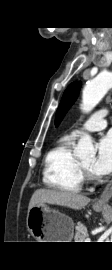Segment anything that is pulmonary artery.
Returning <instances> with one entry per match:
<instances>
[{
  "mask_svg": "<svg viewBox=\"0 0 112 270\" xmlns=\"http://www.w3.org/2000/svg\"><path fill=\"white\" fill-rule=\"evenodd\" d=\"M107 114L106 110L96 111L81 127L85 131H99L107 126V121L104 116ZM81 133L80 129L73 130L71 135L78 136Z\"/></svg>",
  "mask_w": 112,
  "mask_h": 270,
  "instance_id": "obj_1",
  "label": "pulmonary artery"
}]
</instances>
